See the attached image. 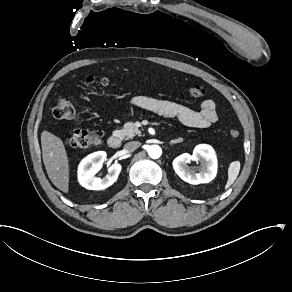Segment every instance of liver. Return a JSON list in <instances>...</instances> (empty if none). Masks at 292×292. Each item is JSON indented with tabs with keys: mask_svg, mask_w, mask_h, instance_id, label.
Listing matches in <instances>:
<instances>
[{
	"mask_svg": "<svg viewBox=\"0 0 292 292\" xmlns=\"http://www.w3.org/2000/svg\"><path fill=\"white\" fill-rule=\"evenodd\" d=\"M42 157L48 177L53 185L69 194L70 167L65 145L61 138L44 130L41 133Z\"/></svg>",
	"mask_w": 292,
	"mask_h": 292,
	"instance_id": "liver-1",
	"label": "liver"
}]
</instances>
